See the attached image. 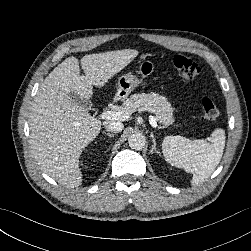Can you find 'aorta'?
Segmentation results:
<instances>
[{"label":"aorta","instance_id":"obj_1","mask_svg":"<svg viewBox=\"0 0 251 251\" xmlns=\"http://www.w3.org/2000/svg\"><path fill=\"white\" fill-rule=\"evenodd\" d=\"M128 143L131 149L141 150L145 146V137L141 133L131 134Z\"/></svg>","mask_w":251,"mask_h":251}]
</instances>
